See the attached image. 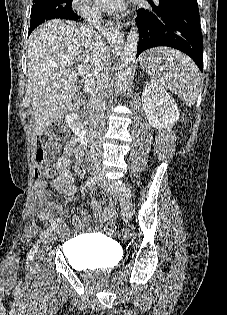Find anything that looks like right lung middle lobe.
<instances>
[{
	"instance_id": "right-lung-middle-lobe-1",
	"label": "right lung middle lobe",
	"mask_w": 227,
	"mask_h": 315,
	"mask_svg": "<svg viewBox=\"0 0 227 315\" xmlns=\"http://www.w3.org/2000/svg\"><path fill=\"white\" fill-rule=\"evenodd\" d=\"M71 0H33L31 9V32L50 19H72Z\"/></svg>"
}]
</instances>
